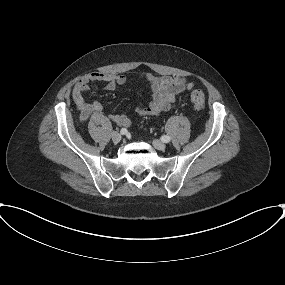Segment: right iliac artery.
<instances>
[{"mask_svg":"<svg viewBox=\"0 0 285 285\" xmlns=\"http://www.w3.org/2000/svg\"><path fill=\"white\" fill-rule=\"evenodd\" d=\"M120 133H121L122 135L127 134V129H126V128H122L121 131H120Z\"/></svg>","mask_w":285,"mask_h":285,"instance_id":"obj_1","label":"right iliac artery"}]
</instances>
